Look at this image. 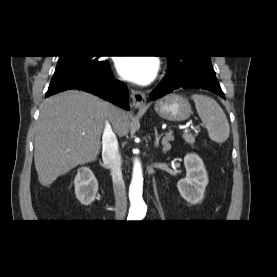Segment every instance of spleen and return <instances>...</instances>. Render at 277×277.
I'll return each instance as SVG.
<instances>
[{
  "instance_id": "obj_1",
  "label": "spleen",
  "mask_w": 277,
  "mask_h": 277,
  "mask_svg": "<svg viewBox=\"0 0 277 277\" xmlns=\"http://www.w3.org/2000/svg\"><path fill=\"white\" fill-rule=\"evenodd\" d=\"M192 99L199 117L208 131L209 138L217 143L225 142L230 134L229 123L220 105L206 95L194 94Z\"/></svg>"
}]
</instances>
